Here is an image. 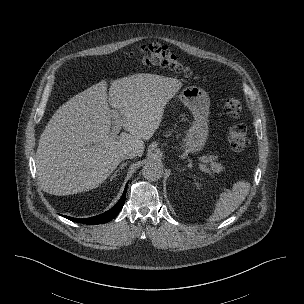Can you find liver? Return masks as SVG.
Instances as JSON below:
<instances>
[{
    "instance_id": "obj_1",
    "label": "liver",
    "mask_w": 304,
    "mask_h": 304,
    "mask_svg": "<svg viewBox=\"0 0 304 304\" xmlns=\"http://www.w3.org/2000/svg\"><path fill=\"white\" fill-rule=\"evenodd\" d=\"M182 83L171 77L140 73L101 81L75 95L54 113L40 136L36 153L41 188L53 195L97 188L159 128L164 108ZM110 104V105H109ZM123 120L120 135L111 134L112 110Z\"/></svg>"
}]
</instances>
